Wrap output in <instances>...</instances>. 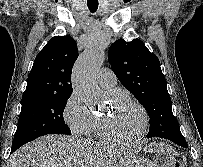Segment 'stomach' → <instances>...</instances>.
<instances>
[{
	"instance_id": "stomach-1",
	"label": "stomach",
	"mask_w": 203,
	"mask_h": 167,
	"mask_svg": "<svg viewBox=\"0 0 203 167\" xmlns=\"http://www.w3.org/2000/svg\"><path fill=\"white\" fill-rule=\"evenodd\" d=\"M127 167H155L154 164L146 158H135Z\"/></svg>"
}]
</instances>
